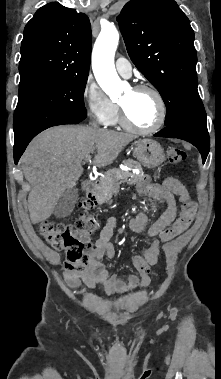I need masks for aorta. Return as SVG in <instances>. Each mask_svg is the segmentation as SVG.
<instances>
[{
  "mask_svg": "<svg viewBox=\"0 0 221 379\" xmlns=\"http://www.w3.org/2000/svg\"><path fill=\"white\" fill-rule=\"evenodd\" d=\"M119 42V33L113 25L100 32L92 53V68L102 90L112 100L118 99L122 92L121 80L116 72L114 56Z\"/></svg>",
  "mask_w": 221,
  "mask_h": 379,
  "instance_id": "aorta-1",
  "label": "aorta"
}]
</instances>
